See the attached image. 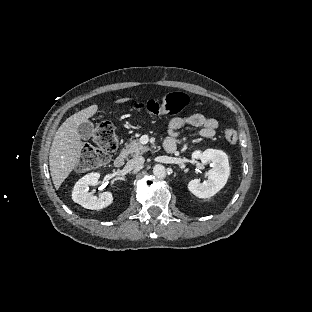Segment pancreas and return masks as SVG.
Wrapping results in <instances>:
<instances>
[{
  "mask_svg": "<svg viewBox=\"0 0 312 312\" xmlns=\"http://www.w3.org/2000/svg\"><path fill=\"white\" fill-rule=\"evenodd\" d=\"M149 151V148L142 145L138 138L131 140L125 149L122 150L121 156L127 157L131 155L133 157L140 156Z\"/></svg>",
  "mask_w": 312,
  "mask_h": 312,
  "instance_id": "pancreas-1",
  "label": "pancreas"
}]
</instances>
